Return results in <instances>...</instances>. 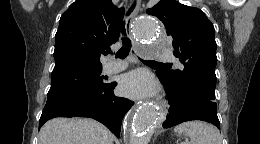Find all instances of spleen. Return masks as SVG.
Instances as JSON below:
<instances>
[{"instance_id": "spleen-1", "label": "spleen", "mask_w": 260, "mask_h": 144, "mask_svg": "<svg viewBox=\"0 0 260 144\" xmlns=\"http://www.w3.org/2000/svg\"><path fill=\"white\" fill-rule=\"evenodd\" d=\"M174 131L188 135L191 139L190 144H222L219 131L206 122H184L177 125ZM185 144H188V142H185Z\"/></svg>"}]
</instances>
